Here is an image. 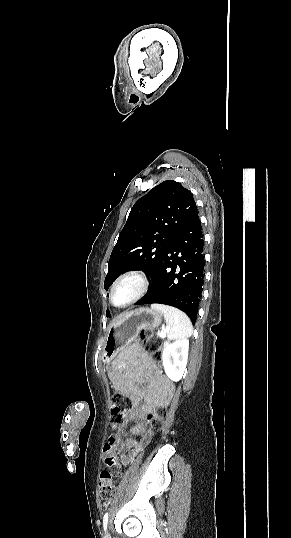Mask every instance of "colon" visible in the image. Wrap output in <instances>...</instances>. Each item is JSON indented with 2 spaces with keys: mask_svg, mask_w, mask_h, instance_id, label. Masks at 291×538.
I'll list each match as a JSON object with an SVG mask.
<instances>
[{
  "mask_svg": "<svg viewBox=\"0 0 291 538\" xmlns=\"http://www.w3.org/2000/svg\"><path fill=\"white\" fill-rule=\"evenodd\" d=\"M140 342L147 353L158 361L162 355V346L158 338L150 330H144L140 333ZM132 408V400L120 393L116 392L112 395L110 402L111 419L113 426H119L125 419L126 415ZM167 415L165 407H158L148 416V421L151 428L158 431L163 426L164 418ZM104 462L108 467L116 465V457L113 447L106 444L104 448ZM116 485L111 472L105 470L99 477V493L103 498H109L115 493Z\"/></svg>",
  "mask_w": 291,
  "mask_h": 538,
  "instance_id": "colon-1",
  "label": "colon"
}]
</instances>
